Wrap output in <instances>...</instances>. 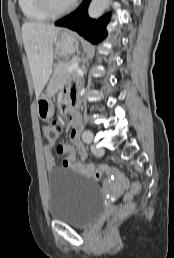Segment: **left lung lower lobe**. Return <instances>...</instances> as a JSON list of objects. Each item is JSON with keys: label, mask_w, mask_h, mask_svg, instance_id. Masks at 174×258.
I'll return each mask as SVG.
<instances>
[{"label": "left lung lower lobe", "mask_w": 174, "mask_h": 258, "mask_svg": "<svg viewBox=\"0 0 174 258\" xmlns=\"http://www.w3.org/2000/svg\"><path fill=\"white\" fill-rule=\"evenodd\" d=\"M91 0H84L70 15L62 18L55 23L56 26H62L77 31L81 36L93 44L99 43L106 36V25L109 21V15L96 20L88 16V6Z\"/></svg>", "instance_id": "1"}]
</instances>
